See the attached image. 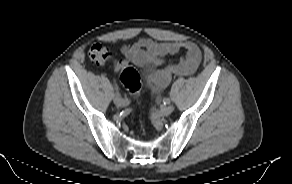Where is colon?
<instances>
[{
	"mask_svg": "<svg viewBox=\"0 0 292 184\" xmlns=\"http://www.w3.org/2000/svg\"><path fill=\"white\" fill-rule=\"evenodd\" d=\"M89 57L93 62L103 64L110 59L111 52L106 46L94 44L89 50ZM120 80L133 97L137 98L141 87L139 73L125 65L120 69Z\"/></svg>",
	"mask_w": 292,
	"mask_h": 184,
	"instance_id": "1",
	"label": "colon"
}]
</instances>
